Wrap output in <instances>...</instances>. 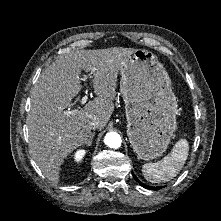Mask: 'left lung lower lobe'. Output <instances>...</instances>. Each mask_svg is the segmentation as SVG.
Segmentation results:
<instances>
[{
	"label": "left lung lower lobe",
	"instance_id": "1",
	"mask_svg": "<svg viewBox=\"0 0 221 221\" xmlns=\"http://www.w3.org/2000/svg\"><path fill=\"white\" fill-rule=\"evenodd\" d=\"M132 175L135 178V180L146 189L158 190L160 188V187H152V186L145 185L138 180V178L134 175V173Z\"/></svg>",
	"mask_w": 221,
	"mask_h": 221
}]
</instances>
